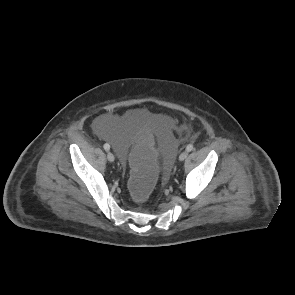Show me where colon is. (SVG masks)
Returning <instances> with one entry per match:
<instances>
[{"label": "colon", "instance_id": "5ec220e1", "mask_svg": "<svg viewBox=\"0 0 295 295\" xmlns=\"http://www.w3.org/2000/svg\"><path fill=\"white\" fill-rule=\"evenodd\" d=\"M152 140V131L141 128L137 131L135 143L131 147L134 166L129 180V197L136 204L147 203L157 183V158Z\"/></svg>", "mask_w": 295, "mask_h": 295}]
</instances>
